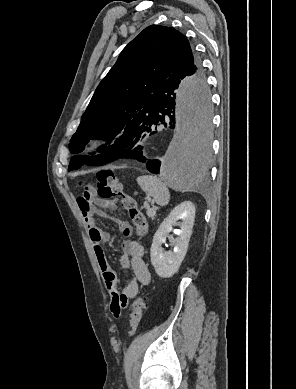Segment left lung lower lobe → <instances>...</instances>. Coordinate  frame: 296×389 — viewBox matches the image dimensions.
<instances>
[{"label":"left lung lower lobe","instance_id":"1","mask_svg":"<svg viewBox=\"0 0 296 389\" xmlns=\"http://www.w3.org/2000/svg\"><path fill=\"white\" fill-rule=\"evenodd\" d=\"M183 79L181 75L168 78L155 94L154 105L146 116H136L124 128L100 156V165L118 159L145 162L152 173H159L160 161L150 160L146 155L143 139L155 134L158 125H169L175 128L177 120L176 94ZM191 100L196 112V123L185 132V140L194 166L193 178L201 177L208 166L210 158V96L205 78H191ZM206 86V87H205ZM155 125V128H154ZM203 126L205 127L203 129ZM147 132L150 134L148 135Z\"/></svg>","mask_w":296,"mask_h":389}]
</instances>
